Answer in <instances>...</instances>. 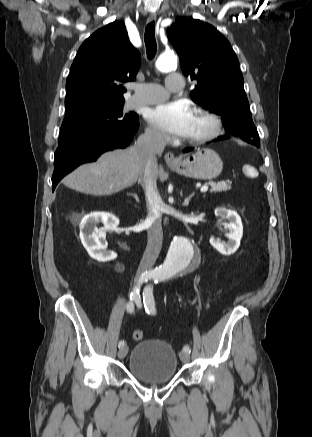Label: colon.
Returning a JSON list of instances; mask_svg holds the SVG:
<instances>
[{"mask_svg":"<svg viewBox=\"0 0 312 437\" xmlns=\"http://www.w3.org/2000/svg\"><path fill=\"white\" fill-rule=\"evenodd\" d=\"M132 336L135 341H141L144 338V332L142 330H135Z\"/></svg>","mask_w":312,"mask_h":437,"instance_id":"5ec220e1","label":"colon"}]
</instances>
